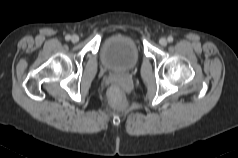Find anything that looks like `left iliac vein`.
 <instances>
[{"label": "left iliac vein", "instance_id": "4c4485c4", "mask_svg": "<svg viewBox=\"0 0 238 158\" xmlns=\"http://www.w3.org/2000/svg\"><path fill=\"white\" fill-rule=\"evenodd\" d=\"M167 39L166 38H160V40H159V44L161 45V46H166L167 45Z\"/></svg>", "mask_w": 238, "mask_h": 158}]
</instances>
